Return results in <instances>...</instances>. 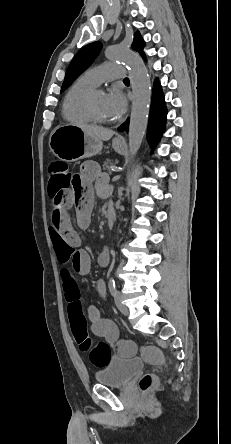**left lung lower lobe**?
I'll use <instances>...</instances> for the list:
<instances>
[{"label":"left lung lower lobe","instance_id":"left-lung-lower-lobe-1","mask_svg":"<svg viewBox=\"0 0 231 444\" xmlns=\"http://www.w3.org/2000/svg\"><path fill=\"white\" fill-rule=\"evenodd\" d=\"M166 115L167 111L161 85L155 79L148 125V140L151 145L157 144L164 132ZM126 128H128V121L123 123L118 130L124 131Z\"/></svg>","mask_w":231,"mask_h":444}]
</instances>
